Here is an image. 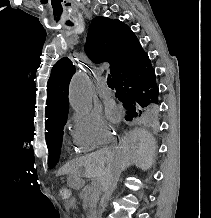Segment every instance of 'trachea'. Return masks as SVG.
I'll return each instance as SVG.
<instances>
[{
	"label": "trachea",
	"instance_id": "1",
	"mask_svg": "<svg viewBox=\"0 0 211 218\" xmlns=\"http://www.w3.org/2000/svg\"><path fill=\"white\" fill-rule=\"evenodd\" d=\"M107 84H113L111 75H108V77H107Z\"/></svg>",
	"mask_w": 211,
	"mask_h": 218
}]
</instances>
